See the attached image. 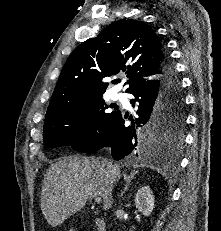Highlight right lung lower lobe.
Masks as SVG:
<instances>
[{
  "instance_id": "right-lung-lower-lobe-1",
  "label": "right lung lower lobe",
  "mask_w": 221,
  "mask_h": 231,
  "mask_svg": "<svg viewBox=\"0 0 221 231\" xmlns=\"http://www.w3.org/2000/svg\"><path fill=\"white\" fill-rule=\"evenodd\" d=\"M161 69L162 76L159 80L130 93L135 97L138 106L136 126L134 120H132V125H125L127 115L123 116L118 111L101 133L74 149L83 153H93L104 146H110L112 157L115 160H120L131 152L141 157H152V155L163 152L164 143L149 136L145 128L162 96H167L174 101H181L183 105L184 97L175 67L165 49ZM135 102L132 104L134 105Z\"/></svg>"
}]
</instances>
